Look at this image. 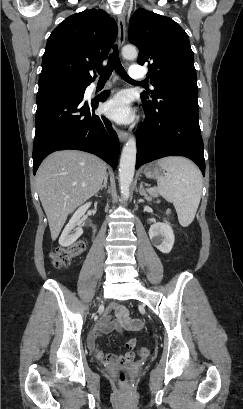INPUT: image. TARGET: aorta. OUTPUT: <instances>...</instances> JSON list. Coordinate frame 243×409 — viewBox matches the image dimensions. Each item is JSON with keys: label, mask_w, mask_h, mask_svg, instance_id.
I'll return each mask as SVG.
<instances>
[{"label": "aorta", "mask_w": 243, "mask_h": 409, "mask_svg": "<svg viewBox=\"0 0 243 409\" xmlns=\"http://www.w3.org/2000/svg\"><path fill=\"white\" fill-rule=\"evenodd\" d=\"M122 56L129 60L135 59L138 56L137 49L134 46H125L122 49ZM136 153V140L134 137H130L123 147L119 164V185L124 199H127L130 195V185L135 171Z\"/></svg>", "instance_id": "1"}]
</instances>
